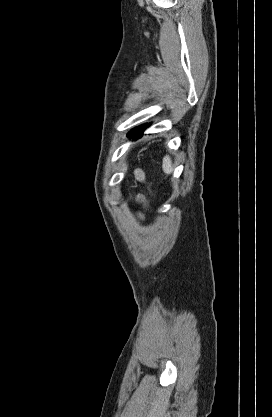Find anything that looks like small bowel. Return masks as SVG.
Masks as SVG:
<instances>
[{"label": "small bowel", "instance_id": "obj_1", "mask_svg": "<svg viewBox=\"0 0 272 417\" xmlns=\"http://www.w3.org/2000/svg\"><path fill=\"white\" fill-rule=\"evenodd\" d=\"M136 177L137 179H139L140 181L144 180V174L141 171H137L136 172ZM140 218H143L142 215H139Z\"/></svg>", "mask_w": 272, "mask_h": 417}]
</instances>
